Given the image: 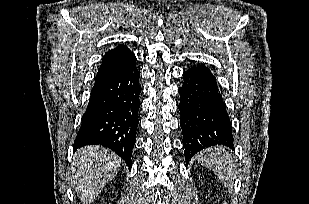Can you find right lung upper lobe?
Returning a JSON list of instances; mask_svg holds the SVG:
<instances>
[{"label":"right lung upper lobe","instance_id":"obj_1","mask_svg":"<svg viewBox=\"0 0 309 204\" xmlns=\"http://www.w3.org/2000/svg\"><path fill=\"white\" fill-rule=\"evenodd\" d=\"M135 61V55L126 45H118L104 55L102 64L96 75V81L128 69L135 65Z\"/></svg>","mask_w":309,"mask_h":204}]
</instances>
